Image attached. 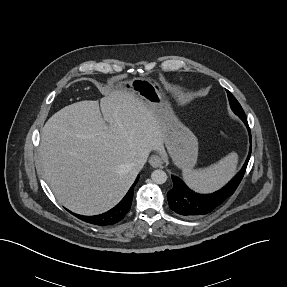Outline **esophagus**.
Here are the masks:
<instances>
[{"label": "esophagus", "mask_w": 287, "mask_h": 287, "mask_svg": "<svg viewBox=\"0 0 287 287\" xmlns=\"http://www.w3.org/2000/svg\"><path fill=\"white\" fill-rule=\"evenodd\" d=\"M149 163L154 168L161 167L163 164L161 157L158 155H152L149 159Z\"/></svg>", "instance_id": "obj_1"}]
</instances>
